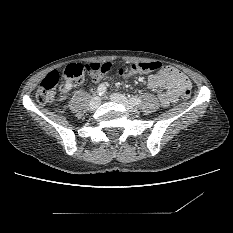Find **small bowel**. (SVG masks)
Segmentation results:
<instances>
[{"label":"small bowel","instance_id":"small-bowel-1","mask_svg":"<svg viewBox=\"0 0 233 233\" xmlns=\"http://www.w3.org/2000/svg\"><path fill=\"white\" fill-rule=\"evenodd\" d=\"M138 71H128V75L132 76ZM67 77V75H65ZM77 83H82L76 79ZM147 86L151 90H160L158 93V100L163 107H168L176 102L179 95L184 89H191V84L187 76L181 71L170 67L164 66L157 73L151 74L147 78Z\"/></svg>","mask_w":233,"mask_h":233}]
</instances>
